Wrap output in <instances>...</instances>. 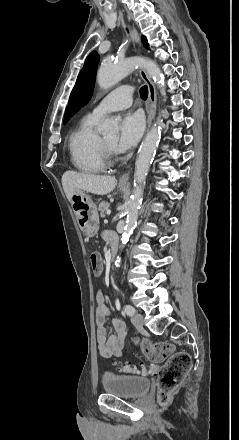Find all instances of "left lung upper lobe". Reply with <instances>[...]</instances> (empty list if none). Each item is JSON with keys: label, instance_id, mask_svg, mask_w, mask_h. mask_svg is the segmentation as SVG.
Wrapping results in <instances>:
<instances>
[{"label": "left lung upper lobe", "instance_id": "1", "mask_svg": "<svg viewBox=\"0 0 239 440\" xmlns=\"http://www.w3.org/2000/svg\"><path fill=\"white\" fill-rule=\"evenodd\" d=\"M142 41L144 46L149 49V45L144 36L142 37ZM98 62L99 55L96 51L91 52L86 58L84 66L71 92L68 107L65 112L64 124L73 113L78 111L90 99L95 83V73Z\"/></svg>", "mask_w": 239, "mask_h": 440}]
</instances>
